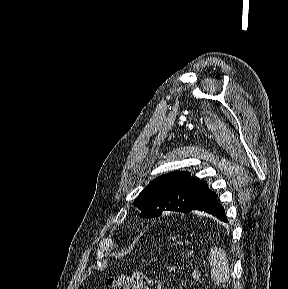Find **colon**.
Returning a JSON list of instances; mask_svg holds the SVG:
<instances>
[{"label":"colon","instance_id":"1","mask_svg":"<svg viewBox=\"0 0 288 289\" xmlns=\"http://www.w3.org/2000/svg\"><path fill=\"white\" fill-rule=\"evenodd\" d=\"M105 289H162V284L143 271H135L108 281Z\"/></svg>","mask_w":288,"mask_h":289}]
</instances>
